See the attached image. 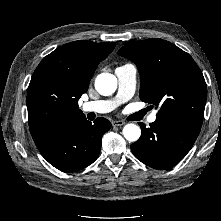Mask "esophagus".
I'll return each instance as SVG.
<instances>
[{"label": "esophagus", "instance_id": "esophagus-1", "mask_svg": "<svg viewBox=\"0 0 221 221\" xmlns=\"http://www.w3.org/2000/svg\"><path fill=\"white\" fill-rule=\"evenodd\" d=\"M125 124L124 121H121V120H114L112 121V126H123Z\"/></svg>", "mask_w": 221, "mask_h": 221}]
</instances>
